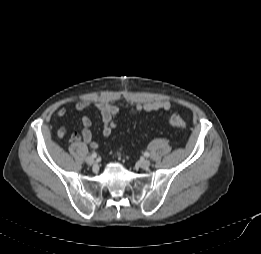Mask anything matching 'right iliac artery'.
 Masks as SVG:
<instances>
[{"label":"right iliac artery","instance_id":"1","mask_svg":"<svg viewBox=\"0 0 261 254\" xmlns=\"http://www.w3.org/2000/svg\"><path fill=\"white\" fill-rule=\"evenodd\" d=\"M91 156H92L93 158H95V157L97 156L96 152H93V153L91 154Z\"/></svg>","mask_w":261,"mask_h":254}]
</instances>
